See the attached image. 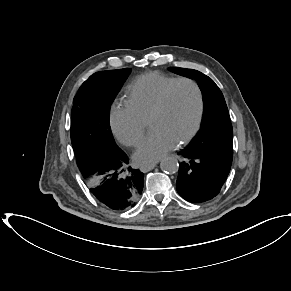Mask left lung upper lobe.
<instances>
[{
  "instance_id": "1",
  "label": "left lung upper lobe",
  "mask_w": 291,
  "mask_h": 291,
  "mask_svg": "<svg viewBox=\"0 0 291 291\" xmlns=\"http://www.w3.org/2000/svg\"><path fill=\"white\" fill-rule=\"evenodd\" d=\"M170 71L197 81L204 101L202 124L187 148L211 150L233 157V129L222 92L205 74L185 68L170 67Z\"/></svg>"
}]
</instances>
